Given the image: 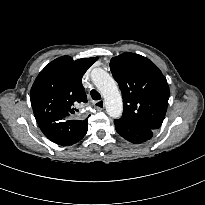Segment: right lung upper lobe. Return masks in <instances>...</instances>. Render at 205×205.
Instances as JSON below:
<instances>
[{"instance_id":"cb5924a9","label":"right lung upper lobe","mask_w":205,"mask_h":205,"mask_svg":"<svg viewBox=\"0 0 205 205\" xmlns=\"http://www.w3.org/2000/svg\"><path fill=\"white\" fill-rule=\"evenodd\" d=\"M97 57L73 60L70 56L50 62L37 76L31 88L30 100L35 119L43 129L60 126L58 133L73 143L87 132L88 119L73 120L81 102H87L81 79Z\"/></svg>"}]
</instances>
